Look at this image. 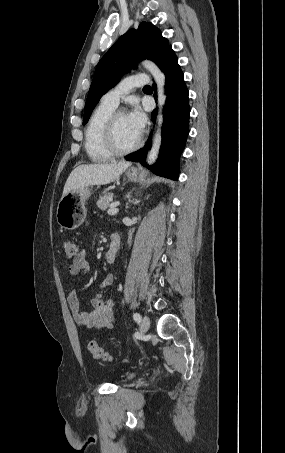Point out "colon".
Returning a JSON list of instances; mask_svg holds the SVG:
<instances>
[{
    "mask_svg": "<svg viewBox=\"0 0 285 453\" xmlns=\"http://www.w3.org/2000/svg\"><path fill=\"white\" fill-rule=\"evenodd\" d=\"M62 249L66 259L68 260L74 261L81 253L79 244L72 238H67L62 242ZM88 350L95 359L104 362H109L112 360L111 355L94 341H90L88 343Z\"/></svg>",
    "mask_w": 285,
    "mask_h": 453,
    "instance_id": "obj_1",
    "label": "colon"
}]
</instances>
